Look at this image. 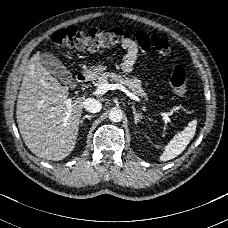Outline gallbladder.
Wrapping results in <instances>:
<instances>
[{
  "mask_svg": "<svg viewBox=\"0 0 228 228\" xmlns=\"http://www.w3.org/2000/svg\"><path fill=\"white\" fill-rule=\"evenodd\" d=\"M40 59L44 66L61 82L66 84L73 83V74L53 54L42 53Z\"/></svg>",
  "mask_w": 228,
  "mask_h": 228,
  "instance_id": "obj_1",
  "label": "gallbladder"
}]
</instances>
